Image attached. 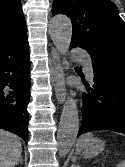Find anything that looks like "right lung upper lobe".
<instances>
[{
    "mask_svg": "<svg viewBox=\"0 0 125 167\" xmlns=\"http://www.w3.org/2000/svg\"><path fill=\"white\" fill-rule=\"evenodd\" d=\"M20 0H0V45L27 37Z\"/></svg>",
    "mask_w": 125,
    "mask_h": 167,
    "instance_id": "right-lung-upper-lobe-1",
    "label": "right lung upper lobe"
}]
</instances>
